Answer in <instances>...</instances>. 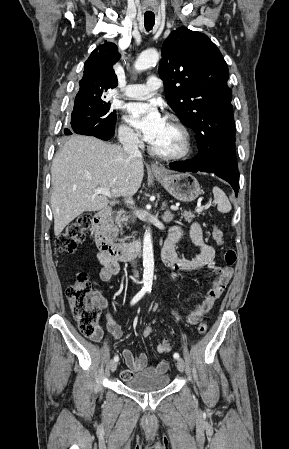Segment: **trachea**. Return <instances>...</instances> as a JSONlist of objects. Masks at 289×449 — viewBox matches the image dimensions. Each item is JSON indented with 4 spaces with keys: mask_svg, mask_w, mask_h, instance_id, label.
Returning <instances> with one entry per match:
<instances>
[{
    "mask_svg": "<svg viewBox=\"0 0 289 449\" xmlns=\"http://www.w3.org/2000/svg\"><path fill=\"white\" fill-rule=\"evenodd\" d=\"M155 24V15L153 13H145L144 25L147 31H150Z\"/></svg>",
    "mask_w": 289,
    "mask_h": 449,
    "instance_id": "3493384b",
    "label": "trachea"
}]
</instances>
